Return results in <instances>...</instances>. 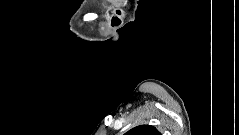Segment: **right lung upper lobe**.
<instances>
[{
	"label": "right lung upper lobe",
	"instance_id": "1",
	"mask_svg": "<svg viewBox=\"0 0 239 135\" xmlns=\"http://www.w3.org/2000/svg\"><path fill=\"white\" fill-rule=\"evenodd\" d=\"M125 135H161V133L153 126L140 125L132 128Z\"/></svg>",
	"mask_w": 239,
	"mask_h": 135
}]
</instances>
